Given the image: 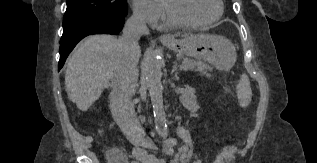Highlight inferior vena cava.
Here are the masks:
<instances>
[{
	"mask_svg": "<svg viewBox=\"0 0 317 163\" xmlns=\"http://www.w3.org/2000/svg\"><path fill=\"white\" fill-rule=\"evenodd\" d=\"M149 33L144 16L138 12L126 21L118 41L119 56L112 76L110 108L126 138L133 144L143 142L145 132L136 116L132 96L138 79V40Z\"/></svg>",
	"mask_w": 317,
	"mask_h": 163,
	"instance_id": "inferior-vena-cava-1",
	"label": "inferior vena cava"
}]
</instances>
